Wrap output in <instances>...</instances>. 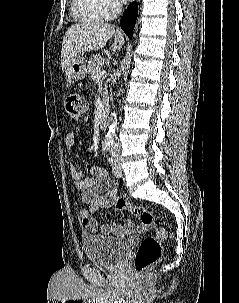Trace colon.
Masks as SVG:
<instances>
[{
  "mask_svg": "<svg viewBox=\"0 0 239 303\" xmlns=\"http://www.w3.org/2000/svg\"><path fill=\"white\" fill-rule=\"evenodd\" d=\"M67 117L76 121L86 115L88 110L85 98L76 92H69L65 97ZM102 200L110 203L117 210L127 211L139 218L144 228H153L155 233L143 239L135 255V268L138 272L157 263L162 256V241L167 237L166 229L157 221L156 216L142 206L129 203L122 196L104 195Z\"/></svg>",
  "mask_w": 239,
  "mask_h": 303,
  "instance_id": "1",
  "label": "colon"
}]
</instances>
